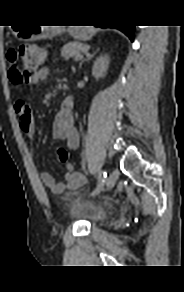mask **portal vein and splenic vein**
Segmentation results:
<instances>
[{
    "label": "portal vein and splenic vein",
    "mask_w": 184,
    "mask_h": 292,
    "mask_svg": "<svg viewBox=\"0 0 184 292\" xmlns=\"http://www.w3.org/2000/svg\"><path fill=\"white\" fill-rule=\"evenodd\" d=\"M80 58H82V56L78 55V56L75 57V60L80 59Z\"/></svg>",
    "instance_id": "portal-vein-and-splenic-vein-1"
}]
</instances>
